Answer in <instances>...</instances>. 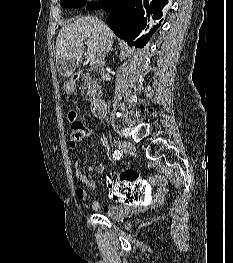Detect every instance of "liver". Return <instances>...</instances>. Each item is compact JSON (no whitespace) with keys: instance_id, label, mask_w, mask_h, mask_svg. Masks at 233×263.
<instances>
[{"instance_id":"obj_1","label":"liver","mask_w":233,"mask_h":263,"mask_svg":"<svg viewBox=\"0 0 233 263\" xmlns=\"http://www.w3.org/2000/svg\"><path fill=\"white\" fill-rule=\"evenodd\" d=\"M104 25L101 32L100 26L92 16L81 17L74 23L61 28L56 39V62L61 60L60 72L64 76H70L79 64L86 45L87 53L98 54L101 38L109 43L114 33ZM87 40L86 42H84Z\"/></svg>"}]
</instances>
